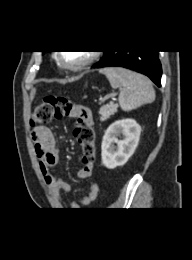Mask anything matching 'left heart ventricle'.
<instances>
[{
	"label": "left heart ventricle",
	"mask_w": 192,
	"mask_h": 260,
	"mask_svg": "<svg viewBox=\"0 0 192 260\" xmlns=\"http://www.w3.org/2000/svg\"><path fill=\"white\" fill-rule=\"evenodd\" d=\"M63 59L70 65H75L85 60L89 52L87 51H65L62 53Z\"/></svg>",
	"instance_id": "obj_1"
}]
</instances>
